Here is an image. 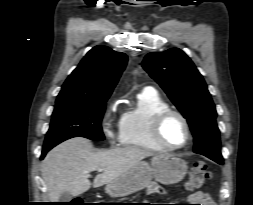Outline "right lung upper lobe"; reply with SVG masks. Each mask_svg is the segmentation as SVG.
<instances>
[{"label": "right lung upper lobe", "instance_id": "right-lung-upper-lobe-1", "mask_svg": "<svg viewBox=\"0 0 253 205\" xmlns=\"http://www.w3.org/2000/svg\"><path fill=\"white\" fill-rule=\"evenodd\" d=\"M126 64L124 53L106 46L94 47L67 78L56 102L108 99Z\"/></svg>", "mask_w": 253, "mask_h": 205}]
</instances>
